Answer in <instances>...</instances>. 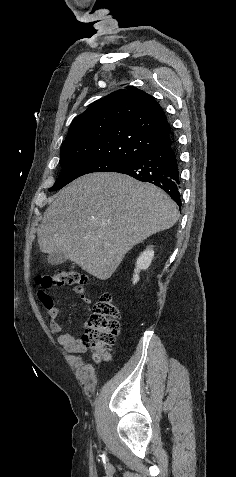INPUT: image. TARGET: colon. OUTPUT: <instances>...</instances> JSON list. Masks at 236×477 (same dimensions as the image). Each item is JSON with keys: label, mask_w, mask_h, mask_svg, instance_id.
<instances>
[{"label": "colon", "mask_w": 236, "mask_h": 477, "mask_svg": "<svg viewBox=\"0 0 236 477\" xmlns=\"http://www.w3.org/2000/svg\"><path fill=\"white\" fill-rule=\"evenodd\" d=\"M85 279V275L79 271L67 270L40 277L38 284L43 288L81 286ZM119 314L120 312L109 294L102 295L95 304L83 335L85 346L94 351L93 360L95 362H101L108 358V350L115 344L120 331Z\"/></svg>", "instance_id": "colon-1"}]
</instances>
